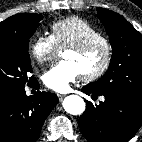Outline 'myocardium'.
<instances>
[{
    "label": "myocardium",
    "mask_w": 142,
    "mask_h": 142,
    "mask_svg": "<svg viewBox=\"0 0 142 142\" xmlns=\"http://www.w3.org/2000/svg\"><path fill=\"white\" fill-rule=\"evenodd\" d=\"M99 47L103 48L105 53L103 63L94 72L82 75V79L85 82L96 81L106 74V72L108 71L111 65L112 58H113V49L111 44L106 39L105 40L93 39V40H89V41L65 48V50H71L79 54H86Z\"/></svg>",
    "instance_id": "f54148a6"
}]
</instances>
